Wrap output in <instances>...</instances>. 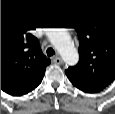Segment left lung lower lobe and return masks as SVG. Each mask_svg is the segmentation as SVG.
<instances>
[{"label":"left lung lower lobe","instance_id":"obj_1","mask_svg":"<svg viewBox=\"0 0 115 114\" xmlns=\"http://www.w3.org/2000/svg\"><path fill=\"white\" fill-rule=\"evenodd\" d=\"M74 86H76L77 88H79L80 90L84 92H89V93H95L102 90V88H98L94 86H79V85H74Z\"/></svg>","mask_w":115,"mask_h":114}]
</instances>
